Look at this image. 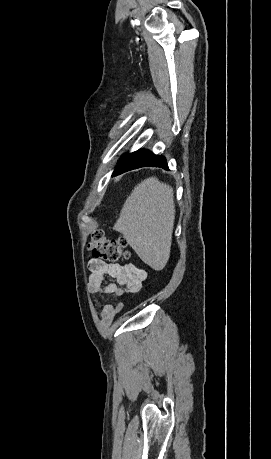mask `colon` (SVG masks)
<instances>
[{"label":"colon","instance_id":"1","mask_svg":"<svg viewBox=\"0 0 271 459\" xmlns=\"http://www.w3.org/2000/svg\"><path fill=\"white\" fill-rule=\"evenodd\" d=\"M88 247L93 256L102 261L115 262L130 256L123 238L110 239L101 231H96L92 235Z\"/></svg>","mask_w":271,"mask_h":459}]
</instances>
